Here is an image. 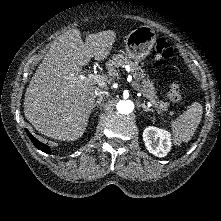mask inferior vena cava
<instances>
[{
    "label": "inferior vena cava",
    "instance_id": "602c4592",
    "mask_svg": "<svg viewBox=\"0 0 221 221\" xmlns=\"http://www.w3.org/2000/svg\"><path fill=\"white\" fill-rule=\"evenodd\" d=\"M106 93H107V92L102 91V90H100V89H98V88L95 89V95H96V96L103 97Z\"/></svg>",
    "mask_w": 221,
    "mask_h": 221
}]
</instances>
